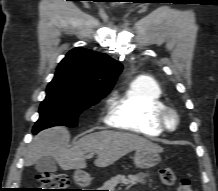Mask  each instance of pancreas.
I'll list each match as a JSON object with an SVG mask.
<instances>
[{
	"instance_id": "1",
	"label": "pancreas",
	"mask_w": 218,
	"mask_h": 191,
	"mask_svg": "<svg viewBox=\"0 0 218 191\" xmlns=\"http://www.w3.org/2000/svg\"><path fill=\"white\" fill-rule=\"evenodd\" d=\"M145 174H138V175H129L127 178L123 175H117L107 182L104 183V188L101 189H108L109 191H114L115 188L120 185H129L133 186L136 185L137 183H145ZM120 188V187H119Z\"/></svg>"
}]
</instances>
